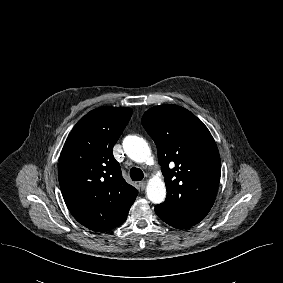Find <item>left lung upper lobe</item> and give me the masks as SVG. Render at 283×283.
<instances>
[{
	"label": "left lung upper lobe",
	"instance_id": "1",
	"mask_svg": "<svg viewBox=\"0 0 283 283\" xmlns=\"http://www.w3.org/2000/svg\"><path fill=\"white\" fill-rule=\"evenodd\" d=\"M141 123L157 146L167 188L166 200L155 212L175 223H199L210 211L220 181L212 135L193 113L173 104L150 108Z\"/></svg>",
	"mask_w": 283,
	"mask_h": 283
}]
</instances>
